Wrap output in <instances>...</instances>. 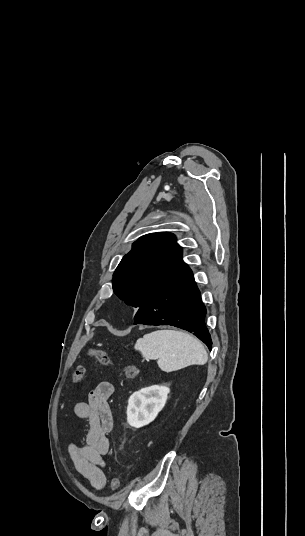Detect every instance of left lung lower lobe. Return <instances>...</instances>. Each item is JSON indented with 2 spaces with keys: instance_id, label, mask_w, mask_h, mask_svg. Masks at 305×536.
<instances>
[{
  "instance_id": "left-lung-lower-lobe-1",
  "label": "left lung lower lobe",
  "mask_w": 305,
  "mask_h": 536,
  "mask_svg": "<svg viewBox=\"0 0 305 536\" xmlns=\"http://www.w3.org/2000/svg\"><path fill=\"white\" fill-rule=\"evenodd\" d=\"M202 303L190 268L151 296L137 311L135 324L172 325L194 333L211 350Z\"/></svg>"
}]
</instances>
